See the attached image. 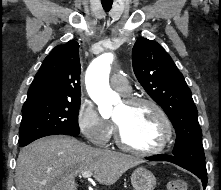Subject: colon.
<instances>
[{
  "label": "colon",
  "mask_w": 221,
  "mask_h": 190,
  "mask_svg": "<svg viewBox=\"0 0 221 190\" xmlns=\"http://www.w3.org/2000/svg\"><path fill=\"white\" fill-rule=\"evenodd\" d=\"M168 190H187V183L182 179L173 180L168 184Z\"/></svg>",
  "instance_id": "1"
}]
</instances>
